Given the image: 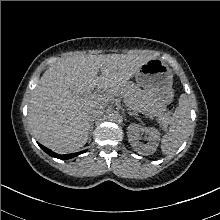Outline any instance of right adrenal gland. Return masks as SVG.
Wrapping results in <instances>:
<instances>
[{"label":"right adrenal gland","instance_id":"2a0ac1e0","mask_svg":"<svg viewBox=\"0 0 220 220\" xmlns=\"http://www.w3.org/2000/svg\"><path fill=\"white\" fill-rule=\"evenodd\" d=\"M93 126H94V123L91 122V123H90V132H92V130H93Z\"/></svg>","mask_w":220,"mask_h":220}]
</instances>
